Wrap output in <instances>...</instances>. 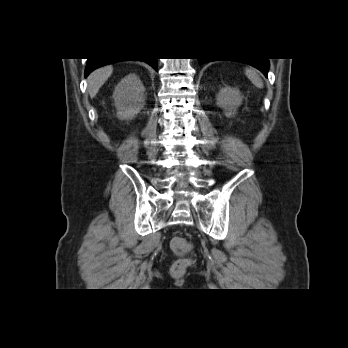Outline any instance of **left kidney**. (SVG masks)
I'll use <instances>...</instances> for the list:
<instances>
[{"mask_svg": "<svg viewBox=\"0 0 348 348\" xmlns=\"http://www.w3.org/2000/svg\"><path fill=\"white\" fill-rule=\"evenodd\" d=\"M216 100L217 105L225 111L226 116H231L241 105L242 95L238 89L225 87L220 89Z\"/></svg>", "mask_w": 348, "mask_h": 348, "instance_id": "left-kidney-1", "label": "left kidney"}]
</instances>
